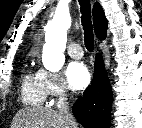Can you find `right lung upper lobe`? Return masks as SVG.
Wrapping results in <instances>:
<instances>
[{"mask_svg": "<svg viewBox=\"0 0 142 128\" xmlns=\"http://www.w3.org/2000/svg\"><path fill=\"white\" fill-rule=\"evenodd\" d=\"M93 22L96 36L101 40L105 39L107 30V20L105 18L102 7L97 2L93 6Z\"/></svg>", "mask_w": 142, "mask_h": 128, "instance_id": "right-lung-upper-lobe-1", "label": "right lung upper lobe"}]
</instances>
